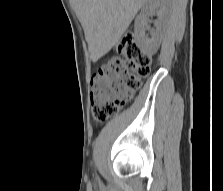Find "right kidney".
<instances>
[{
    "label": "right kidney",
    "instance_id": "right-kidney-1",
    "mask_svg": "<svg viewBox=\"0 0 223 191\" xmlns=\"http://www.w3.org/2000/svg\"><path fill=\"white\" fill-rule=\"evenodd\" d=\"M167 6L168 0H148L135 20L134 27L138 46L149 55L156 53L159 47ZM156 11L158 20L155 21V30H150L148 27L149 18ZM147 30L150 31V35L146 34Z\"/></svg>",
    "mask_w": 223,
    "mask_h": 191
}]
</instances>
